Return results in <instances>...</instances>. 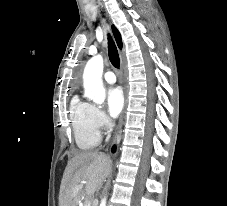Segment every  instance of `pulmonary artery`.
Masks as SVG:
<instances>
[{
    "instance_id": "1",
    "label": "pulmonary artery",
    "mask_w": 227,
    "mask_h": 206,
    "mask_svg": "<svg viewBox=\"0 0 227 206\" xmlns=\"http://www.w3.org/2000/svg\"><path fill=\"white\" fill-rule=\"evenodd\" d=\"M104 79L109 84H113L116 82V76L112 71L105 72Z\"/></svg>"
}]
</instances>
